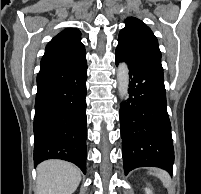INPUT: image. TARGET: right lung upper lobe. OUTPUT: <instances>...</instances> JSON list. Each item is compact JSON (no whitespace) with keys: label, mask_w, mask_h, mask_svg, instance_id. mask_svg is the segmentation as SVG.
<instances>
[{"label":"right lung upper lobe","mask_w":201,"mask_h":194,"mask_svg":"<svg viewBox=\"0 0 201 194\" xmlns=\"http://www.w3.org/2000/svg\"><path fill=\"white\" fill-rule=\"evenodd\" d=\"M85 62L86 52L80 31L67 28L47 44L40 70L72 68Z\"/></svg>","instance_id":"cb5924a9"}]
</instances>
